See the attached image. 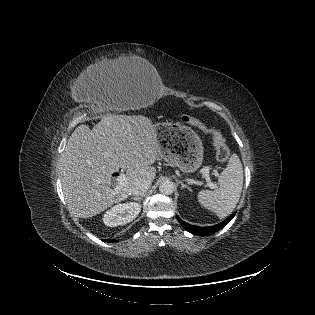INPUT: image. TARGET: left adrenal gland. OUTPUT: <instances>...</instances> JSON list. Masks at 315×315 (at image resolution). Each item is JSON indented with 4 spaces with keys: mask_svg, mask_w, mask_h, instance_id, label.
I'll return each instance as SVG.
<instances>
[{
    "mask_svg": "<svg viewBox=\"0 0 315 315\" xmlns=\"http://www.w3.org/2000/svg\"><path fill=\"white\" fill-rule=\"evenodd\" d=\"M177 182L181 184V188H187L189 191H192L191 188L188 185L184 184L182 181L177 180Z\"/></svg>",
    "mask_w": 315,
    "mask_h": 315,
    "instance_id": "left-adrenal-gland-1",
    "label": "left adrenal gland"
}]
</instances>
